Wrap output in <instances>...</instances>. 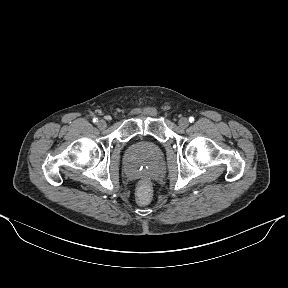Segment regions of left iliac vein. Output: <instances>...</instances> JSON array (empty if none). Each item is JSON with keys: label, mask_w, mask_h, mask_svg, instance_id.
Returning <instances> with one entry per match:
<instances>
[{"label": "left iliac vein", "mask_w": 288, "mask_h": 288, "mask_svg": "<svg viewBox=\"0 0 288 288\" xmlns=\"http://www.w3.org/2000/svg\"><path fill=\"white\" fill-rule=\"evenodd\" d=\"M178 124L181 128L185 129L186 127H188L189 121L187 118L183 117L179 120Z\"/></svg>", "instance_id": "obj_1"}]
</instances>
